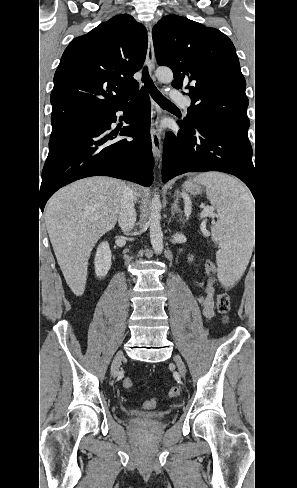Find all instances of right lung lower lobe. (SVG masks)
Here are the masks:
<instances>
[{
    "mask_svg": "<svg viewBox=\"0 0 297 488\" xmlns=\"http://www.w3.org/2000/svg\"><path fill=\"white\" fill-rule=\"evenodd\" d=\"M150 99L135 90L116 109L75 126L49 142V154L42 171L40 210L64 185L90 176H110L150 186L153 157L150 137ZM117 111H124L120 133L110 131ZM132 139H118V136Z\"/></svg>",
    "mask_w": 297,
    "mask_h": 488,
    "instance_id": "right-lung-lower-lobe-1",
    "label": "right lung lower lobe"
}]
</instances>
